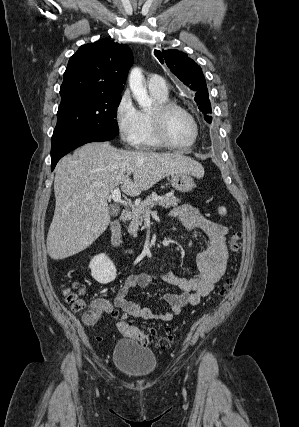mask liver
<instances>
[{"instance_id": "obj_1", "label": "liver", "mask_w": 299, "mask_h": 427, "mask_svg": "<svg viewBox=\"0 0 299 427\" xmlns=\"http://www.w3.org/2000/svg\"><path fill=\"white\" fill-rule=\"evenodd\" d=\"M187 172L203 177L202 165L180 153L127 151L109 142H92L62 158L56 167L55 212L47 236V252L65 259L89 247L110 224L108 199L121 185L137 196L164 177ZM133 175V180L130 175Z\"/></svg>"}]
</instances>
